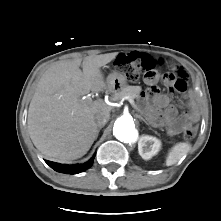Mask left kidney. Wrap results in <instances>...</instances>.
Instances as JSON below:
<instances>
[{
    "label": "left kidney",
    "mask_w": 221,
    "mask_h": 221,
    "mask_svg": "<svg viewBox=\"0 0 221 221\" xmlns=\"http://www.w3.org/2000/svg\"><path fill=\"white\" fill-rule=\"evenodd\" d=\"M161 147V141L153 136L143 135L138 143V151L140 156L149 160L156 155Z\"/></svg>",
    "instance_id": "left-kidney-1"
}]
</instances>
